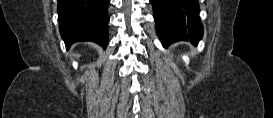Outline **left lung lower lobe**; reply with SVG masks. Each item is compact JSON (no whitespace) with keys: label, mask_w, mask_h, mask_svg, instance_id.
I'll return each mask as SVG.
<instances>
[{"label":"left lung lower lobe","mask_w":273,"mask_h":118,"mask_svg":"<svg viewBox=\"0 0 273 118\" xmlns=\"http://www.w3.org/2000/svg\"><path fill=\"white\" fill-rule=\"evenodd\" d=\"M157 34L168 46L185 40L197 44L203 35L197 0H150Z\"/></svg>","instance_id":"left-lung-lower-lobe-1"}]
</instances>
